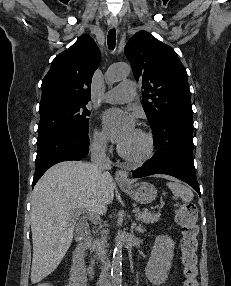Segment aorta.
I'll use <instances>...</instances> for the list:
<instances>
[{"label":"aorta","mask_w":231,"mask_h":286,"mask_svg":"<svg viewBox=\"0 0 231 286\" xmlns=\"http://www.w3.org/2000/svg\"><path fill=\"white\" fill-rule=\"evenodd\" d=\"M131 68L126 63L112 65L106 73L108 83H115L127 77ZM124 236L121 231L117 233L111 265V286H121L122 283V248Z\"/></svg>","instance_id":"obj_1"}]
</instances>
